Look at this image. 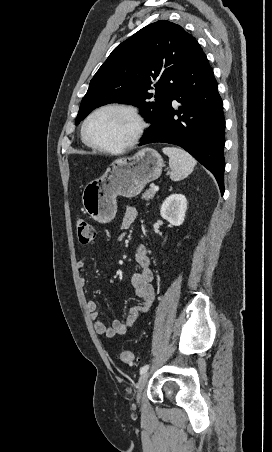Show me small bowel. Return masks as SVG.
Masks as SVG:
<instances>
[{
  "mask_svg": "<svg viewBox=\"0 0 272 452\" xmlns=\"http://www.w3.org/2000/svg\"><path fill=\"white\" fill-rule=\"evenodd\" d=\"M137 216V209L135 207H128L125 211L121 228L123 230L130 228ZM135 262L139 271L133 275L132 285L135 288L137 296L141 299V303L130 308L124 319L115 320L111 326H107L100 317L96 302L89 300L87 302V309L94 321V330L97 334L107 338L125 335L130 332L141 315L147 314L151 310L155 299V289L152 284L154 273L150 267L147 247L144 244H139L137 246ZM77 268L79 270L85 269L86 262L83 260L78 261ZM87 282L88 280L86 277H80V284L82 286H86Z\"/></svg>",
  "mask_w": 272,
  "mask_h": 452,
  "instance_id": "small-bowel-1",
  "label": "small bowel"
}]
</instances>
